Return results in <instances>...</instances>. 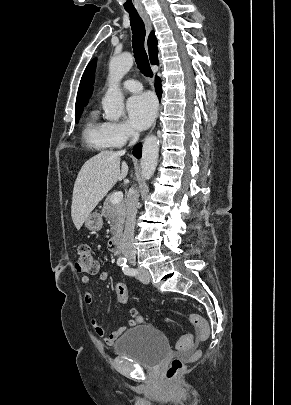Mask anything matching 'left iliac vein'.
<instances>
[{"mask_svg": "<svg viewBox=\"0 0 291 405\" xmlns=\"http://www.w3.org/2000/svg\"><path fill=\"white\" fill-rule=\"evenodd\" d=\"M138 272H137V278L142 282V283H149L150 282V274L149 272L142 267H138Z\"/></svg>", "mask_w": 291, "mask_h": 405, "instance_id": "left-iliac-vein-1", "label": "left iliac vein"}]
</instances>
